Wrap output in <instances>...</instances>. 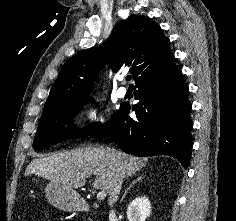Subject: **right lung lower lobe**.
Listing matches in <instances>:
<instances>
[{
	"label": "right lung lower lobe",
	"mask_w": 236,
	"mask_h": 221,
	"mask_svg": "<svg viewBox=\"0 0 236 221\" xmlns=\"http://www.w3.org/2000/svg\"><path fill=\"white\" fill-rule=\"evenodd\" d=\"M135 84L139 102L132 110L136 119L128 116L129 104L122 103L93 137H111L123 151L136 156L169 155L187 168L193 146L191 104L174 56Z\"/></svg>",
	"instance_id": "1"
}]
</instances>
